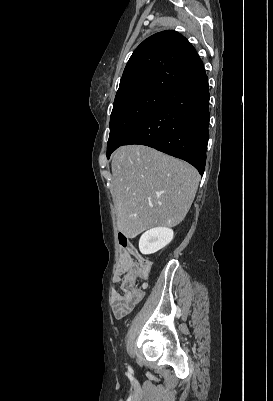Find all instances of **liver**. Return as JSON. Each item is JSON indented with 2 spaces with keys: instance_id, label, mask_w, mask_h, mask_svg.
<instances>
[{
  "instance_id": "1",
  "label": "liver",
  "mask_w": 273,
  "mask_h": 401,
  "mask_svg": "<svg viewBox=\"0 0 273 401\" xmlns=\"http://www.w3.org/2000/svg\"><path fill=\"white\" fill-rule=\"evenodd\" d=\"M117 229L134 239L152 227H176L195 198L198 170L143 144L120 146L111 162Z\"/></svg>"
}]
</instances>
